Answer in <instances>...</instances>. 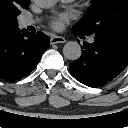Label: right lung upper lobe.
Segmentation results:
<instances>
[{"label":"right lung upper lobe","mask_w":128,"mask_h":128,"mask_svg":"<svg viewBox=\"0 0 128 128\" xmlns=\"http://www.w3.org/2000/svg\"><path fill=\"white\" fill-rule=\"evenodd\" d=\"M26 2H29V0H0V10L13 3L24 4ZM17 28L18 27L12 24L8 16H5L4 13L0 11V35L12 33Z\"/></svg>","instance_id":"cb5924a9"}]
</instances>
